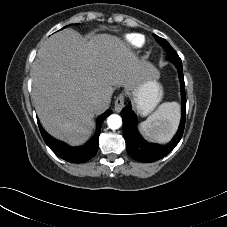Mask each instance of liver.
I'll list each match as a JSON object with an SVG mask.
<instances>
[{
    "label": "liver",
    "instance_id": "liver-1",
    "mask_svg": "<svg viewBox=\"0 0 227 227\" xmlns=\"http://www.w3.org/2000/svg\"><path fill=\"white\" fill-rule=\"evenodd\" d=\"M31 77V94L43 127L79 145L90 136L94 115L107 109L114 87L136 88L149 77H158V71L116 36L95 35L87 42L65 29L38 50ZM95 96L102 98L101 104L93 103Z\"/></svg>",
    "mask_w": 227,
    "mask_h": 227
}]
</instances>
